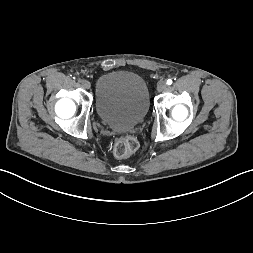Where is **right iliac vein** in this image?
<instances>
[{"label":"right iliac vein","instance_id":"obj_1","mask_svg":"<svg viewBox=\"0 0 253 253\" xmlns=\"http://www.w3.org/2000/svg\"><path fill=\"white\" fill-rule=\"evenodd\" d=\"M82 87H83L84 89H90L91 84H90L89 81L84 80L83 83H82Z\"/></svg>","mask_w":253,"mask_h":253}]
</instances>
